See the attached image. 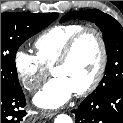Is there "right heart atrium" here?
<instances>
[{"mask_svg": "<svg viewBox=\"0 0 123 123\" xmlns=\"http://www.w3.org/2000/svg\"><path fill=\"white\" fill-rule=\"evenodd\" d=\"M14 68L23 87L32 92L38 89L46 78L48 69L39 61L36 55L18 49L13 58Z\"/></svg>", "mask_w": 123, "mask_h": 123, "instance_id": "1", "label": "right heart atrium"}]
</instances>
